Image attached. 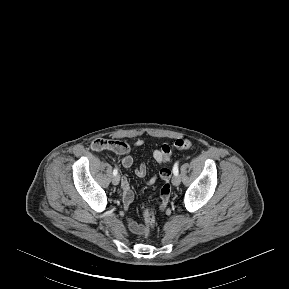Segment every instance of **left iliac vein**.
I'll use <instances>...</instances> for the list:
<instances>
[{
    "mask_svg": "<svg viewBox=\"0 0 289 289\" xmlns=\"http://www.w3.org/2000/svg\"><path fill=\"white\" fill-rule=\"evenodd\" d=\"M181 182V178L179 175H174L173 178H172V184L174 186H178Z\"/></svg>",
    "mask_w": 289,
    "mask_h": 289,
    "instance_id": "4c4485c4",
    "label": "left iliac vein"
}]
</instances>
